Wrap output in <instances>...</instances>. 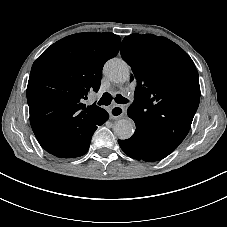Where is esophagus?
I'll use <instances>...</instances> for the list:
<instances>
[{
  "label": "esophagus",
  "mask_w": 227,
  "mask_h": 227,
  "mask_svg": "<svg viewBox=\"0 0 227 227\" xmlns=\"http://www.w3.org/2000/svg\"><path fill=\"white\" fill-rule=\"evenodd\" d=\"M125 112V108L121 105H114L111 107L109 111V115L111 119H117L121 117Z\"/></svg>",
  "instance_id": "esophagus-1"
}]
</instances>
